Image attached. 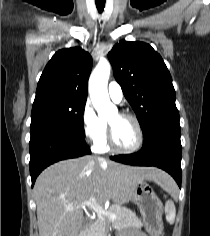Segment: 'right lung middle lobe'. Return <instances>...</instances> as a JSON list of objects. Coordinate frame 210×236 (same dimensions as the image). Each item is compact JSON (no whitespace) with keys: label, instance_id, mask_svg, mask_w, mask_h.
<instances>
[{"label":"right lung middle lobe","instance_id":"1","mask_svg":"<svg viewBox=\"0 0 210 236\" xmlns=\"http://www.w3.org/2000/svg\"><path fill=\"white\" fill-rule=\"evenodd\" d=\"M85 104V99L72 97H52L34 102L31 114V134L48 129H59L84 137Z\"/></svg>","mask_w":210,"mask_h":236}]
</instances>
